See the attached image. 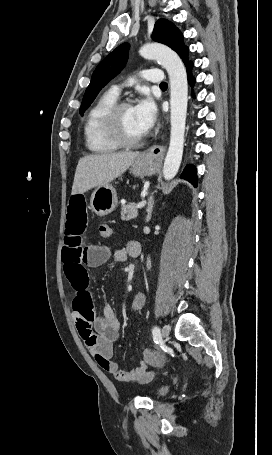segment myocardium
<instances>
[{
	"instance_id": "myocardium-1",
	"label": "myocardium",
	"mask_w": 272,
	"mask_h": 455,
	"mask_svg": "<svg viewBox=\"0 0 272 455\" xmlns=\"http://www.w3.org/2000/svg\"><path fill=\"white\" fill-rule=\"evenodd\" d=\"M132 106L129 101H116L106 112L103 119L104 131L108 139L120 148H134L142 144L145 140V135L136 138L128 139L125 137L121 127L122 111Z\"/></svg>"
}]
</instances>
